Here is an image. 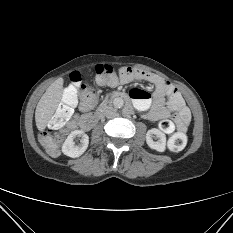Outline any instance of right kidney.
<instances>
[{"instance_id":"1","label":"right kidney","mask_w":233,"mask_h":233,"mask_svg":"<svg viewBox=\"0 0 233 233\" xmlns=\"http://www.w3.org/2000/svg\"><path fill=\"white\" fill-rule=\"evenodd\" d=\"M76 137H81L79 144H75L74 142ZM88 144V135L85 134L82 130H75L68 135L65 142L63 143L62 152L71 158H76L81 156L86 151Z\"/></svg>"}]
</instances>
